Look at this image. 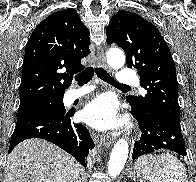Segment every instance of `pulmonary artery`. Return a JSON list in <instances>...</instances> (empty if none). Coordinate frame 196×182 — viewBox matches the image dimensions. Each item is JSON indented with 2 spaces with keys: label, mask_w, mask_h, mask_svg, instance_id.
I'll use <instances>...</instances> for the list:
<instances>
[{
  "label": "pulmonary artery",
  "mask_w": 196,
  "mask_h": 182,
  "mask_svg": "<svg viewBox=\"0 0 196 182\" xmlns=\"http://www.w3.org/2000/svg\"><path fill=\"white\" fill-rule=\"evenodd\" d=\"M118 83L122 85H135L137 83V75L134 71L123 69L118 74ZM93 90L92 86H85L80 89L70 90L69 95L71 99L82 97Z\"/></svg>",
  "instance_id": "1"
}]
</instances>
